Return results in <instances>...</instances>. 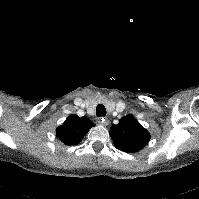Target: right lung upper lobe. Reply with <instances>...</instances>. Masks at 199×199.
Returning a JSON list of instances; mask_svg holds the SVG:
<instances>
[{
  "instance_id": "1",
  "label": "right lung upper lobe",
  "mask_w": 199,
  "mask_h": 199,
  "mask_svg": "<svg viewBox=\"0 0 199 199\" xmlns=\"http://www.w3.org/2000/svg\"><path fill=\"white\" fill-rule=\"evenodd\" d=\"M93 126L90 119L72 114L56 129L57 137L66 145H77Z\"/></svg>"
}]
</instances>
